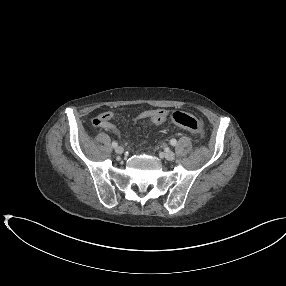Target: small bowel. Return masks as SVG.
<instances>
[{
    "label": "small bowel",
    "mask_w": 286,
    "mask_h": 286,
    "mask_svg": "<svg viewBox=\"0 0 286 286\" xmlns=\"http://www.w3.org/2000/svg\"><path fill=\"white\" fill-rule=\"evenodd\" d=\"M168 117V112L163 109H149L141 112L136 120H149L155 125H162ZM114 118V113L110 111L103 112L95 117L92 121V124L96 127H101L106 130L113 132L114 134L119 135L120 130L118 127L112 123Z\"/></svg>",
    "instance_id": "c3829d8e"
}]
</instances>
